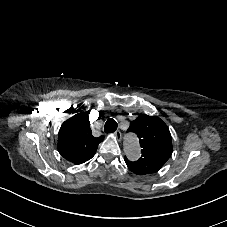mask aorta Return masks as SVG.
Segmentation results:
<instances>
[{"label": "aorta", "mask_w": 227, "mask_h": 227, "mask_svg": "<svg viewBox=\"0 0 227 227\" xmlns=\"http://www.w3.org/2000/svg\"><path fill=\"white\" fill-rule=\"evenodd\" d=\"M125 145V149L129 158L136 159L137 157H139L140 148L137 138L135 136H128Z\"/></svg>", "instance_id": "obj_1"}]
</instances>
